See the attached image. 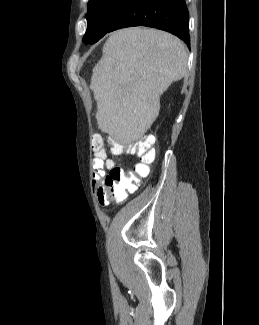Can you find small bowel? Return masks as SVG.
Returning <instances> with one entry per match:
<instances>
[{"mask_svg":"<svg viewBox=\"0 0 259 325\" xmlns=\"http://www.w3.org/2000/svg\"><path fill=\"white\" fill-rule=\"evenodd\" d=\"M112 166H113V162L111 160H107L106 155L103 158H99L97 155H95V158H94L93 163H92V167H93V172H92L93 185H94V188L96 190L99 203L101 205H107L108 202H106L105 200H103L99 196L98 191H99V188H100L102 178L104 177V175L106 173V171H105L106 167L110 168Z\"/></svg>","mask_w":259,"mask_h":325,"instance_id":"obj_1","label":"small bowel"}]
</instances>
